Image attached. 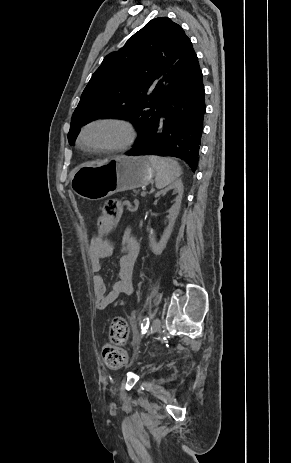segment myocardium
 I'll use <instances>...</instances> for the list:
<instances>
[{"label":"myocardium","mask_w":291,"mask_h":463,"mask_svg":"<svg viewBox=\"0 0 291 463\" xmlns=\"http://www.w3.org/2000/svg\"><path fill=\"white\" fill-rule=\"evenodd\" d=\"M99 125H114L122 129L124 133L123 139L114 144H102V145H90L85 142V136L87 132ZM136 129L134 125L127 119L118 117V116H104L92 119L85 123L77 137V144L78 146L87 151L92 153H117L126 151L129 149L136 140Z\"/></svg>","instance_id":"1"}]
</instances>
